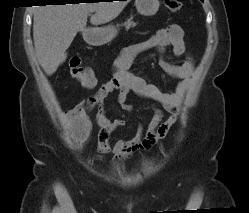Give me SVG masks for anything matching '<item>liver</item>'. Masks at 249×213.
I'll list each match as a JSON object with an SVG mask.
<instances>
[{"instance_id":"obj_1","label":"liver","mask_w":249,"mask_h":213,"mask_svg":"<svg viewBox=\"0 0 249 213\" xmlns=\"http://www.w3.org/2000/svg\"><path fill=\"white\" fill-rule=\"evenodd\" d=\"M128 1L38 6L34 11L33 39L44 72L51 76L66 60V50L77 32L85 29L90 13L95 12L90 18L92 25L104 24L115 19Z\"/></svg>"}]
</instances>
